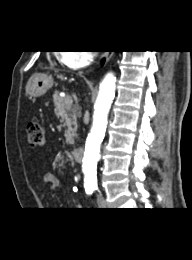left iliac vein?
Here are the masks:
<instances>
[{
    "mask_svg": "<svg viewBox=\"0 0 192 260\" xmlns=\"http://www.w3.org/2000/svg\"><path fill=\"white\" fill-rule=\"evenodd\" d=\"M97 202H98V206L100 208H107L108 207V204H107L106 200L103 198L102 195H98Z\"/></svg>",
    "mask_w": 192,
    "mask_h": 260,
    "instance_id": "4c4485c4",
    "label": "left iliac vein"
}]
</instances>
